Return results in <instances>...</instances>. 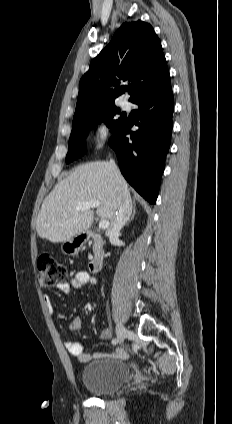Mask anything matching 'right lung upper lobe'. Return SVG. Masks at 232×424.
Segmentation results:
<instances>
[{
    "instance_id": "right-lung-upper-lobe-1",
    "label": "right lung upper lobe",
    "mask_w": 232,
    "mask_h": 424,
    "mask_svg": "<svg viewBox=\"0 0 232 424\" xmlns=\"http://www.w3.org/2000/svg\"><path fill=\"white\" fill-rule=\"evenodd\" d=\"M166 72V59L153 27L142 21L122 24L81 78L74 119L115 106V99L125 92L123 82L131 83L129 101H135Z\"/></svg>"
}]
</instances>
